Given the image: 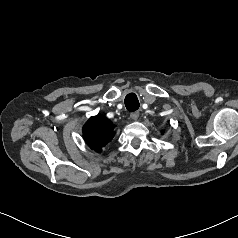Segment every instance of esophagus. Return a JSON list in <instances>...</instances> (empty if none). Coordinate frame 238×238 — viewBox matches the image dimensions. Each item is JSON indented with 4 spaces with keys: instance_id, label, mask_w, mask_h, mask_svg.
Returning <instances> with one entry per match:
<instances>
[{
    "instance_id": "34e87169",
    "label": "esophagus",
    "mask_w": 238,
    "mask_h": 238,
    "mask_svg": "<svg viewBox=\"0 0 238 238\" xmlns=\"http://www.w3.org/2000/svg\"><path fill=\"white\" fill-rule=\"evenodd\" d=\"M139 114H140L139 111H135L130 114V117L132 120L136 121L139 117Z\"/></svg>"
}]
</instances>
